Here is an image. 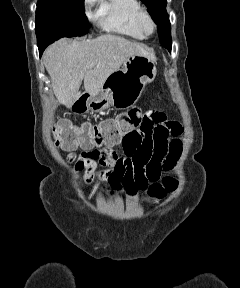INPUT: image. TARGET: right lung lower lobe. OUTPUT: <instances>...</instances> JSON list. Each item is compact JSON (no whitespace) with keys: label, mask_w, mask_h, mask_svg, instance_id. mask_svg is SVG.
<instances>
[{"label":"right lung lower lobe","mask_w":240,"mask_h":288,"mask_svg":"<svg viewBox=\"0 0 240 288\" xmlns=\"http://www.w3.org/2000/svg\"><path fill=\"white\" fill-rule=\"evenodd\" d=\"M47 46H48V45H41V46H38V48H39V55H40V57H41V55H42V53H43L44 49H45Z\"/></svg>","instance_id":"1"}]
</instances>
